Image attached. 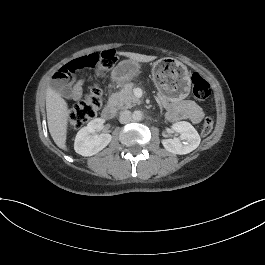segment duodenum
<instances>
[{
  "label": "duodenum",
  "instance_id": "obj_1",
  "mask_svg": "<svg viewBox=\"0 0 265 265\" xmlns=\"http://www.w3.org/2000/svg\"><path fill=\"white\" fill-rule=\"evenodd\" d=\"M116 115V106L112 101H109L102 111V117L104 119H111Z\"/></svg>",
  "mask_w": 265,
  "mask_h": 265
}]
</instances>
